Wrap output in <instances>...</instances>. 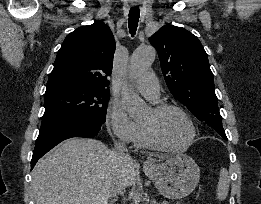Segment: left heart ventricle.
Returning a JSON list of instances; mask_svg holds the SVG:
<instances>
[{
  "mask_svg": "<svg viewBox=\"0 0 261 204\" xmlns=\"http://www.w3.org/2000/svg\"><path fill=\"white\" fill-rule=\"evenodd\" d=\"M152 114L150 109L142 119V122H150ZM160 137L168 144L181 145L190 136V127L186 119L177 111L169 110L163 113L155 123Z\"/></svg>",
  "mask_w": 261,
  "mask_h": 204,
  "instance_id": "1",
  "label": "left heart ventricle"
}]
</instances>
